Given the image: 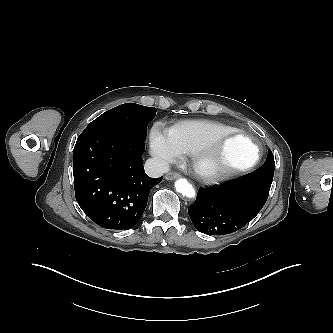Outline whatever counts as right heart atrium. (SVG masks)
<instances>
[{"mask_svg":"<svg viewBox=\"0 0 333 333\" xmlns=\"http://www.w3.org/2000/svg\"><path fill=\"white\" fill-rule=\"evenodd\" d=\"M150 150L161 167H167L180 159L184 152L174 140L170 130L155 124L150 133Z\"/></svg>","mask_w":333,"mask_h":333,"instance_id":"right-heart-atrium-1","label":"right heart atrium"}]
</instances>
